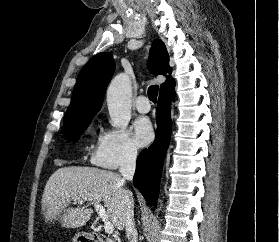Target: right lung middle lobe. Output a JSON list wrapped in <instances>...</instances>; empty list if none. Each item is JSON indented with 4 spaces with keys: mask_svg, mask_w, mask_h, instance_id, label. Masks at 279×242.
<instances>
[{
    "mask_svg": "<svg viewBox=\"0 0 279 242\" xmlns=\"http://www.w3.org/2000/svg\"><path fill=\"white\" fill-rule=\"evenodd\" d=\"M92 117L85 119L82 122L63 125L62 133L65 135V138L69 141H77L79 136L85 131L87 126L89 125Z\"/></svg>",
    "mask_w": 279,
    "mask_h": 242,
    "instance_id": "1",
    "label": "right lung middle lobe"
}]
</instances>
